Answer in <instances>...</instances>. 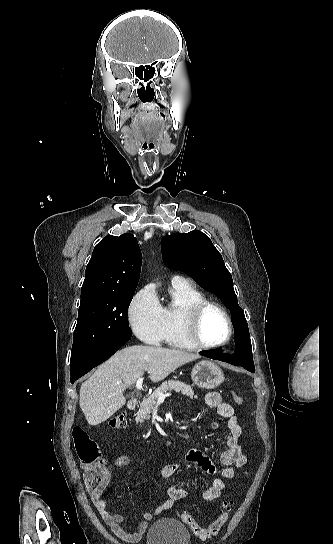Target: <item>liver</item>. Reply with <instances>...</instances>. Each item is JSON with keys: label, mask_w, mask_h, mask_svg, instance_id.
<instances>
[{"label": "liver", "mask_w": 333, "mask_h": 544, "mask_svg": "<svg viewBox=\"0 0 333 544\" xmlns=\"http://www.w3.org/2000/svg\"><path fill=\"white\" fill-rule=\"evenodd\" d=\"M200 358L183 350L134 345L115 353L80 388V407L89 425L109 419L125 403L123 392L145 371L152 382L165 379L178 367Z\"/></svg>", "instance_id": "liver-1"}]
</instances>
